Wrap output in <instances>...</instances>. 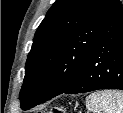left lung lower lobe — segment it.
<instances>
[{
	"label": "left lung lower lobe",
	"mask_w": 123,
	"mask_h": 113,
	"mask_svg": "<svg viewBox=\"0 0 123 113\" xmlns=\"http://www.w3.org/2000/svg\"><path fill=\"white\" fill-rule=\"evenodd\" d=\"M111 88L123 89V5L120 2L101 27L77 79L64 93Z\"/></svg>",
	"instance_id": "1"
}]
</instances>
